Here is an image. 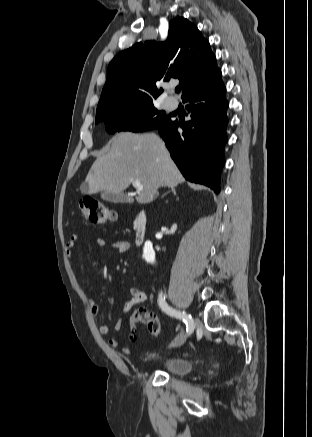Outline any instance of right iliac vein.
I'll return each mask as SVG.
<instances>
[{
    "mask_svg": "<svg viewBox=\"0 0 312 437\" xmlns=\"http://www.w3.org/2000/svg\"><path fill=\"white\" fill-rule=\"evenodd\" d=\"M193 325L195 327V322L193 321ZM184 341V337H183V331L181 332V334L177 337V339L173 342L172 346L173 347H178L180 346Z\"/></svg>",
    "mask_w": 312,
    "mask_h": 437,
    "instance_id": "63e3f726",
    "label": "right iliac vein"
}]
</instances>
